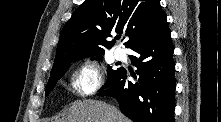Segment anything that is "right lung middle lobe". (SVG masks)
Instances as JSON below:
<instances>
[{
  "label": "right lung middle lobe",
  "mask_w": 221,
  "mask_h": 122,
  "mask_svg": "<svg viewBox=\"0 0 221 122\" xmlns=\"http://www.w3.org/2000/svg\"><path fill=\"white\" fill-rule=\"evenodd\" d=\"M100 57H97V59H100ZM94 59V58H93ZM69 68L66 67L64 69H61L60 71L54 73V74H51L50 75V78H49V81H48V85H47V88H46V92H45V96H47L50 91L54 88L56 82L64 75V73L67 71V69ZM121 70V68H118V69H112V67H108L107 68V73H108V80H107V83L105 85V87H108L110 81L114 78V76Z\"/></svg>",
  "instance_id": "1"
}]
</instances>
